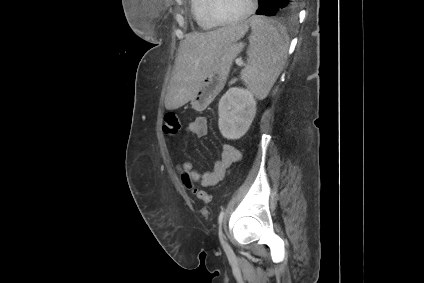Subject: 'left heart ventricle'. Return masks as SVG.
<instances>
[{"instance_id":"left-heart-ventricle-1","label":"left heart ventricle","mask_w":424,"mask_h":283,"mask_svg":"<svg viewBox=\"0 0 424 283\" xmlns=\"http://www.w3.org/2000/svg\"><path fill=\"white\" fill-rule=\"evenodd\" d=\"M249 7V0H216L215 11L223 19L241 16Z\"/></svg>"}]
</instances>
